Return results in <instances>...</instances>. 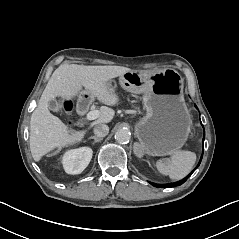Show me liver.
Returning <instances> with one entry per match:
<instances>
[{
	"instance_id": "obj_1",
	"label": "liver",
	"mask_w": 239,
	"mask_h": 239,
	"mask_svg": "<svg viewBox=\"0 0 239 239\" xmlns=\"http://www.w3.org/2000/svg\"><path fill=\"white\" fill-rule=\"evenodd\" d=\"M131 68L119 65H60L48 81L36 109L30 118V151L35 162L53 150H62L81 144L86 134L98 124H108L115 118V111L100 108V115L85 129L70 131L68 126L48 110V101L61 97L73 102L83 98L84 92L98 103L116 107L121 103L119 93L111 81Z\"/></svg>"
}]
</instances>
